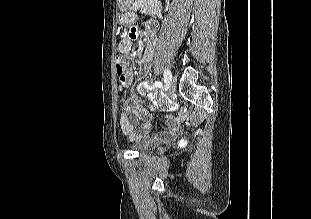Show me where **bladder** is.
<instances>
[{"mask_svg":"<svg viewBox=\"0 0 311 219\" xmlns=\"http://www.w3.org/2000/svg\"><path fill=\"white\" fill-rule=\"evenodd\" d=\"M155 147H157L156 143H146V144L137 145L136 147H134V149L138 151L139 153H147L151 151L152 149H154Z\"/></svg>","mask_w":311,"mask_h":219,"instance_id":"1","label":"bladder"}]
</instances>
